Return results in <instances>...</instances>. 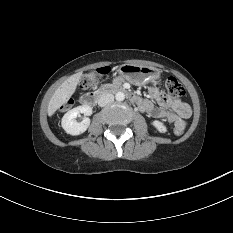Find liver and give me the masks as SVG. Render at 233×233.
Returning a JSON list of instances; mask_svg holds the SVG:
<instances>
[{
  "label": "liver",
  "instance_id": "1",
  "mask_svg": "<svg viewBox=\"0 0 233 233\" xmlns=\"http://www.w3.org/2000/svg\"><path fill=\"white\" fill-rule=\"evenodd\" d=\"M81 75V73L71 75L56 89L48 103L47 113L49 116H52L74 94Z\"/></svg>",
  "mask_w": 233,
  "mask_h": 233
}]
</instances>
